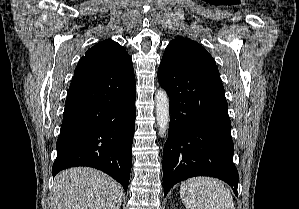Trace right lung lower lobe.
I'll list each match as a JSON object with an SVG mask.
<instances>
[{"instance_id": "right-lung-lower-lobe-1", "label": "right lung lower lobe", "mask_w": 299, "mask_h": 209, "mask_svg": "<svg viewBox=\"0 0 299 209\" xmlns=\"http://www.w3.org/2000/svg\"><path fill=\"white\" fill-rule=\"evenodd\" d=\"M135 77L116 72L78 74L72 78L56 143L59 171L97 168L120 182L127 192L135 124Z\"/></svg>"}]
</instances>
